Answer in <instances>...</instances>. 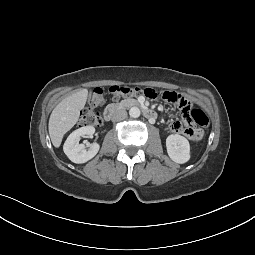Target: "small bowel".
Here are the masks:
<instances>
[{
    "instance_id": "1",
    "label": "small bowel",
    "mask_w": 255,
    "mask_h": 255,
    "mask_svg": "<svg viewBox=\"0 0 255 255\" xmlns=\"http://www.w3.org/2000/svg\"><path fill=\"white\" fill-rule=\"evenodd\" d=\"M171 93H175V92H171ZM177 104L179 105V102H177ZM180 107V106H179ZM181 110L183 109V107H180ZM186 122L182 123L180 121H172L170 124H169V127L170 129L173 131V132H177V133H180L182 132V129L183 127L185 126Z\"/></svg>"
}]
</instances>
